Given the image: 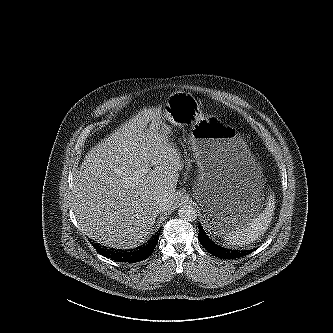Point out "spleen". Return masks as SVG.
<instances>
[{"label":"spleen","mask_w":333,"mask_h":333,"mask_svg":"<svg viewBox=\"0 0 333 333\" xmlns=\"http://www.w3.org/2000/svg\"><path fill=\"white\" fill-rule=\"evenodd\" d=\"M275 203L274 193H271L267 198L266 207L263 211L223 236L225 245L245 247L258 240L266 232L272 221Z\"/></svg>","instance_id":"3e777b00"}]
</instances>
